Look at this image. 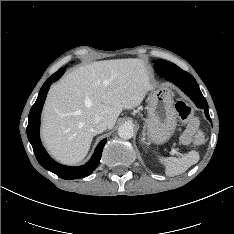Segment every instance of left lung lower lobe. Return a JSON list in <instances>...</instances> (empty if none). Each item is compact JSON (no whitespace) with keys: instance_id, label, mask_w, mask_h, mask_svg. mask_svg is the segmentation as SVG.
I'll use <instances>...</instances> for the list:
<instances>
[{"instance_id":"left-lung-lower-lobe-1","label":"left lung lower lobe","mask_w":234,"mask_h":234,"mask_svg":"<svg viewBox=\"0 0 234 234\" xmlns=\"http://www.w3.org/2000/svg\"><path fill=\"white\" fill-rule=\"evenodd\" d=\"M163 77L179 86L194 101L197 107L203 108L207 119L211 121L207 101L202 95L194 77L183 70L176 74H166Z\"/></svg>"}]
</instances>
